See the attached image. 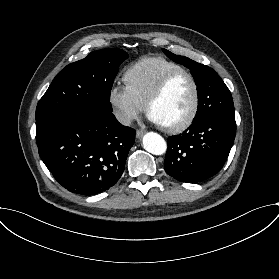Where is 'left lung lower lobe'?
Wrapping results in <instances>:
<instances>
[{
  "mask_svg": "<svg viewBox=\"0 0 279 279\" xmlns=\"http://www.w3.org/2000/svg\"><path fill=\"white\" fill-rule=\"evenodd\" d=\"M236 135L235 117L206 115L182 134L167 139L166 173L181 182H201L217 174Z\"/></svg>",
  "mask_w": 279,
  "mask_h": 279,
  "instance_id": "obj_1",
  "label": "left lung lower lobe"
}]
</instances>
